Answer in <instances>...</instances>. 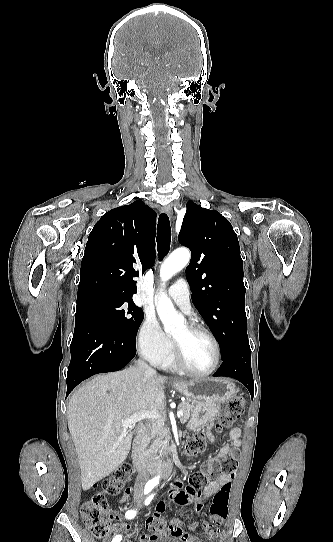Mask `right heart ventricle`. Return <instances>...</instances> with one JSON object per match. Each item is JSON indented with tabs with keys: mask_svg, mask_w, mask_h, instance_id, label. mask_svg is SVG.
<instances>
[{
	"mask_svg": "<svg viewBox=\"0 0 333 542\" xmlns=\"http://www.w3.org/2000/svg\"><path fill=\"white\" fill-rule=\"evenodd\" d=\"M152 362L161 368H174L175 364L171 359L170 352L167 351L157 357L152 358Z\"/></svg>",
	"mask_w": 333,
	"mask_h": 542,
	"instance_id": "e07e8e85",
	"label": "right heart ventricle"
}]
</instances>
